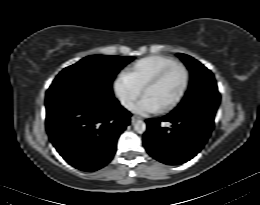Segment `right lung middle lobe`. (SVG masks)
Wrapping results in <instances>:
<instances>
[{
	"mask_svg": "<svg viewBox=\"0 0 260 205\" xmlns=\"http://www.w3.org/2000/svg\"><path fill=\"white\" fill-rule=\"evenodd\" d=\"M133 57L92 55L63 69L51 86L69 85L84 88L96 94L114 98L111 84L115 75Z\"/></svg>",
	"mask_w": 260,
	"mask_h": 205,
	"instance_id": "right-lung-middle-lobe-1",
	"label": "right lung middle lobe"
}]
</instances>
